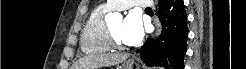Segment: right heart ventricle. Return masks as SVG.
Here are the masks:
<instances>
[{"label": "right heart ventricle", "mask_w": 246, "mask_h": 69, "mask_svg": "<svg viewBox=\"0 0 246 69\" xmlns=\"http://www.w3.org/2000/svg\"><path fill=\"white\" fill-rule=\"evenodd\" d=\"M111 10L108 4L97 6L90 14L81 38L80 47L84 53H104L110 50L109 25L106 15Z\"/></svg>", "instance_id": "right-heart-ventricle-1"}]
</instances>
